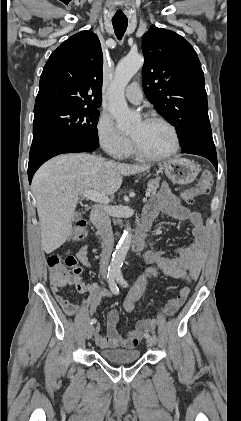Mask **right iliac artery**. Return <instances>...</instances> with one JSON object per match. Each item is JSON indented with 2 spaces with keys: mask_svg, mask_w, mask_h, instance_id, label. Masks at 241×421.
<instances>
[{
  "mask_svg": "<svg viewBox=\"0 0 241 421\" xmlns=\"http://www.w3.org/2000/svg\"><path fill=\"white\" fill-rule=\"evenodd\" d=\"M107 278H108V283H109V287H110L111 292L113 294H118L119 288L117 287V285L115 283V271L113 269L108 270ZM94 323H96L95 318L91 319V321H90V324H94Z\"/></svg>",
  "mask_w": 241,
  "mask_h": 421,
  "instance_id": "82829eb1",
  "label": "right iliac artery"
}]
</instances>
